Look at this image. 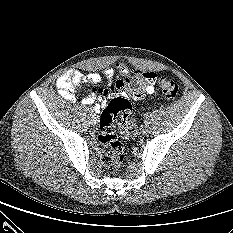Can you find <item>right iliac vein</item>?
Returning <instances> with one entry per match:
<instances>
[{
  "label": "right iliac vein",
  "mask_w": 233,
  "mask_h": 233,
  "mask_svg": "<svg viewBox=\"0 0 233 233\" xmlns=\"http://www.w3.org/2000/svg\"><path fill=\"white\" fill-rule=\"evenodd\" d=\"M90 122H91V124H96L98 122V118H97L96 114L91 115Z\"/></svg>",
  "instance_id": "1"
}]
</instances>
